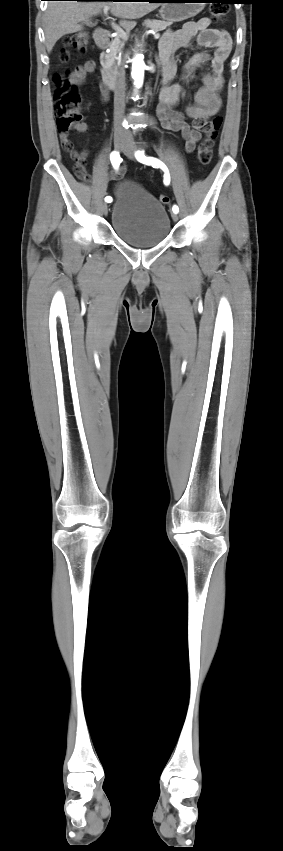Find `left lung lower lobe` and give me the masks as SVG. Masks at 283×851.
Returning <instances> with one entry per match:
<instances>
[{
  "label": "left lung lower lobe",
  "mask_w": 283,
  "mask_h": 851,
  "mask_svg": "<svg viewBox=\"0 0 283 851\" xmlns=\"http://www.w3.org/2000/svg\"><path fill=\"white\" fill-rule=\"evenodd\" d=\"M152 1H153V2H167L168 0H152ZM224 3H227V4H234V3H237V2H236V1H234V0H229L228 2H224Z\"/></svg>",
  "instance_id": "1"
}]
</instances>
